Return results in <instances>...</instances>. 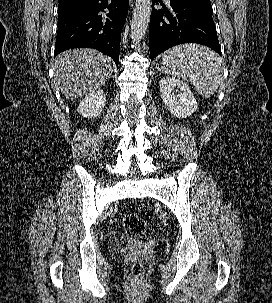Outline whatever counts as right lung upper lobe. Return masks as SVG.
<instances>
[{"instance_id": "cb5924a9", "label": "right lung upper lobe", "mask_w": 272, "mask_h": 303, "mask_svg": "<svg viewBox=\"0 0 272 303\" xmlns=\"http://www.w3.org/2000/svg\"><path fill=\"white\" fill-rule=\"evenodd\" d=\"M87 1L89 0H59L58 9H69Z\"/></svg>"}]
</instances>
